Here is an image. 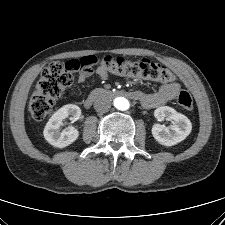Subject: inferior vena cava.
I'll use <instances>...</instances> for the list:
<instances>
[{
  "label": "inferior vena cava",
  "instance_id": "602c4592",
  "mask_svg": "<svg viewBox=\"0 0 225 225\" xmlns=\"http://www.w3.org/2000/svg\"><path fill=\"white\" fill-rule=\"evenodd\" d=\"M94 108L99 113H105L111 108V102L104 97H99L94 102Z\"/></svg>",
  "mask_w": 225,
  "mask_h": 225
}]
</instances>
